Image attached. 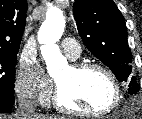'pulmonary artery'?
I'll use <instances>...</instances> for the list:
<instances>
[{
  "label": "pulmonary artery",
  "instance_id": "e3ab8cb5",
  "mask_svg": "<svg viewBox=\"0 0 142 119\" xmlns=\"http://www.w3.org/2000/svg\"><path fill=\"white\" fill-rule=\"evenodd\" d=\"M61 47L66 56L70 59H77L81 54V49L77 41L66 38L62 40Z\"/></svg>",
  "mask_w": 142,
  "mask_h": 119
}]
</instances>
